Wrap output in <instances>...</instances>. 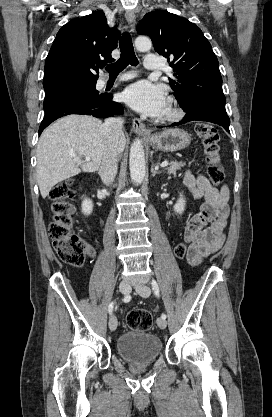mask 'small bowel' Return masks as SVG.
<instances>
[{"label":"small bowel","instance_id":"1","mask_svg":"<svg viewBox=\"0 0 272 417\" xmlns=\"http://www.w3.org/2000/svg\"><path fill=\"white\" fill-rule=\"evenodd\" d=\"M184 184L194 198L203 200L199 212L184 229V240L188 244L186 258L190 264L197 265L224 244L230 193L226 185L217 189L206 176H194L190 171L184 174ZM88 252L92 258L95 257L93 248L90 247Z\"/></svg>","mask_w":272,"mask_h":417}]
</instances>
